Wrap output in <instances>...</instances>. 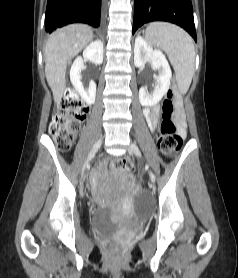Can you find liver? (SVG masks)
I'll return each instance as SVG.
<instances>
[{"label":"liver","mask_w":238,"mask_h":278,"mask_svg":"<svg viewBox=\"0 0 238 278\" xmlns=\"http://www.w3.org/2000/svg\"><path fill=\"white\" fill-rule=\"evenodd\" d=\"M93 39V31L83 24H72L52 33L45 45V75L54 102L59 104L66 88V68Z\"/></svg>","instance_id":"1"}]
</instances>
